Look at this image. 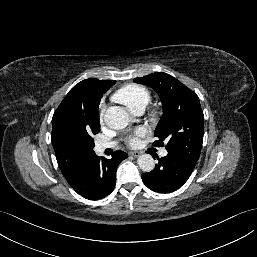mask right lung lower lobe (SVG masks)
Returning <instances> with one entry per match:
<instances>
[{"mask_svg": "<svg viewBox=\"0 0 257 257\" xmlns=\"http://www.w3.org/2000/svg\"><path fill=\"white\" fill-rule=\"evenodd\" d=\"M128 155L117 150L111 159L92 156L83 167L78 177L71 183L72 188L81 196L89 200H98L109 195L116 183L117 166Z\"/></svg>", "mask_w": 257, "mask_h": 257, "instance_id": "98d812e1", "label": "right lung lower lobe"}]
</instances>
